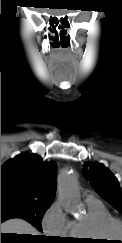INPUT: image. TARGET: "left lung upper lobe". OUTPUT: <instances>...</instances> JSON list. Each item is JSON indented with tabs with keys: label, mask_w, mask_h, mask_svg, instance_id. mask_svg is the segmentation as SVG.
Returning a JSON list of instances; mask_svg holds the SVG:
<instances>
[{
	"label": "left lung upper lobe",
	"mask_w": 122,
	"mask_h": 243,
	"mask_svg": "<svg viewBox=\"0 0 122 243\" xmlns=\"http://www.w3.org/2000/svg\"><path fill=\"white\" fill-rule=\"evenodd\" d=\"M83 175L90 180L95 191L122 213V189L117 178L104 165L86 162Z\"/></svg>",
	"instance_id": "5c2ea615"
}]
</instances>
